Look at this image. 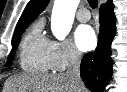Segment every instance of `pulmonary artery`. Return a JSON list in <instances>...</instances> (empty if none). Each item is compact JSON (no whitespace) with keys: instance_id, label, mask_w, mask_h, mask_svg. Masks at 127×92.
<instances>
[{"instance_id":"obj_1","label":"pulmonary artery","mask_w":127,"mask_h":92,"mask_svg":"<svg viewBox=\"0 0 127 92\" xmlns=\"http://www.w3.org/2000/svg\"><path fill=\"white\" fill-rule=\"evenodd\" d=\"M76 18L80 22H87L90 19V12H89V10L87 8L81 7L76 12Z\"/></svg>"}]
</instances>
